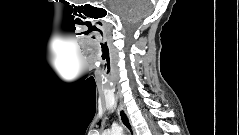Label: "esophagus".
Masks as SVG:
<instances>
[{
	"instance_id": "34e87169",
	"label": "esophagus",
	"mask_w": 239,
	"mask_h": 135,
	"mask_svg": "<svg viewBox=\"0 0 239 135\" xmlns=\"http://www.w3.org/2000/svg\"><path fill=\"white\" fill-rule=\"evenodd\" d=\"M118 114H119L120 121L122 125L125 127V129L128 131V134L135 135V131L129 119V116L121 104L118 107Z\"/></svg>"
}]
</instances>
